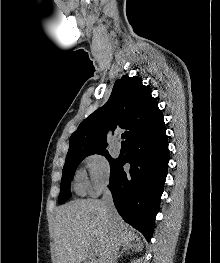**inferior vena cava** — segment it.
I'll return each mask as SVG.
<instances>
[{
  "label": "inferior vena cava",
  "instance_id": "inferior-vena-cava-1",
  "mask_svg": "<svg viewBox=\"0 0 220 263\" xmlns=\"http://www.w3.org/2000/svg\"><path fill=\"white\" fill-rule=\"evenodd\" d=\"M102 204H103L106 215L110 219H112L116 215L117 212L114 206L112 194L107 187H105L103 190ZM117 251H118V247L116 243V245L114 246V249L112 250L109 256L108 263H115L117 259Z\"/></svg>",
  "mask_w": 220,
  "mask_h": 263
}]
</instances>
